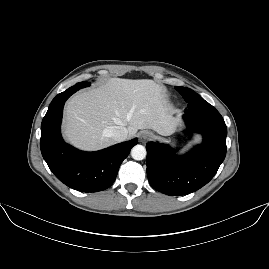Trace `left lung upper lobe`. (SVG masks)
Here are the masks:
<instances>
[{
    "label": "left lung upper lobe",
    "instance_id": "obj_1",
    "mask_svg": "<svg viewBox=\"0 0 269 269\" xmlns=\"http://www.w3.org/2000/svg\"><path fill=\"white\" fill-rule=\"evenodd\" d=\"M176 90L188 103V110L193 114L218 112L212 105L206 102L193 90L186 87H176Z\"/></svg>",
    "mask_w": 269,
    "mask_h": 269
}]
</instances>
